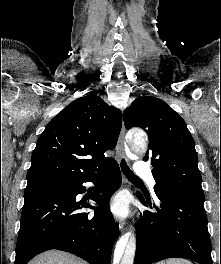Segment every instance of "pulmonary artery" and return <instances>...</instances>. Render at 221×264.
Instances as JSON below:
<instances>
[{
  "mask_svg": "<svg viewBox=\"0 0 221 264\" xmlns=\"http://www.w3.org/2000/svg\"><path fill=\"white\" fill-rule=\"evenodd\" d=\"M135 171H136L137 175L146 179L148 181L149 185L151 186V188L153 189V187L156 184V181H155V179L151 173V170L148 168V166L142 162H139L136 165Z\"/></svg>",
  "mask_w": 221,
  "mask_h": 264,
  "instance_id": "1",
  "label": "pulmonary artery"
}]
</instances>
